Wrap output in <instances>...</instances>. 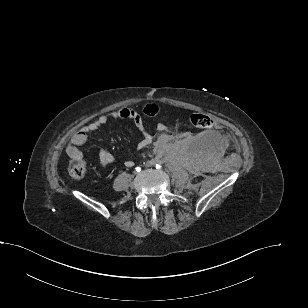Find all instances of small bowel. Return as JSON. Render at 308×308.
Wrapping results in <instances>:
<instances>
[{
	"mask_svg": "<svg viewBox=\"0 0 308 308\" xmlns=\"http://www.w3.org/2000/svg\"><path fill=\"white\" fill-rule=\"evenodd\" d=\"M159 111L160 109L156 104H147L143 108L142 113L134 110L133 108L124 107L109 114L102 115L83 126L72 136L70 144L66 148V152L71 158H83L80 147L86 143L88 135L97 132L102 126L115 119H127L134 123L136 128L142 134V139L137 144L138 149L147 148L152 144L159 149H163L169 142L172 141L173 135L168 131V128L164 123H158L156 125V129L161 134L157 139H154V137L146 130L143 119L144 117H155L159 114ZM98 159L104 167L111 164L115 160L114 155L104 149L98 152ZM125 165L127 167H132L134 162L132 160H127Z\"/></svg>",
	"mask_w": 308,
	"mask_h": 308,
	"instance_id": "small-bowel-1",
	"label": "small bowel"
}]
</instances>
